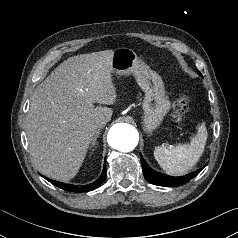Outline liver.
<instances>
[{"label":"liver","instance_id":"obj_1","mask_svg":"<svg viewBox=\"0 0 238 238\" xmlns=\"http://www.w3.org/2000/svg\"><path fill=\"white\" fill-rule=\"evenodd\" d=\"M114 51L73 56L39 84L31 97L26 135L33 163L45 176L67 182L78 173L97 129L109 121L117 93Z\"/></svg>","mask_w":238,"mask_h":238}]
</instances>
